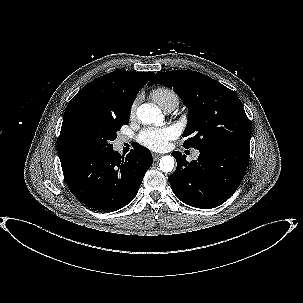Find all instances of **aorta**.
<instances>
[{
	"label": "aorta",
	"mask_w": 303,
	"mask_h": 303,
	"mask_svg": "<svg viewBox=\"0 0 303 303\" xmlns=\"http://www.w3.org/2000/svg\"><path fill=\"white\" fill-rule=\"evenodd\" d=\"M138 119L145 124L158 123L161 121V111L155 105L142 104L137 109ZM174 158L170 155L163 156L160 159L159 168L162 172H171L174 168Z\"/></svg>",
	"instance_id": "762f6f07"
}]
</instances>
